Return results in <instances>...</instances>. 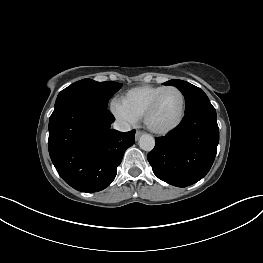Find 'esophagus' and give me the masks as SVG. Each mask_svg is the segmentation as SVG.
<instances>
[{
    "instance_id": "obj_1",
    "label": "esophagus",
    "mask_w": 263,
    "mask_h": 263,
    "mask_svg": "<svg viewBox=\"0 0 263 263\" xmlns=\"http://www.w3.org/2000/svg\"><path fill=\"white\" fill-rule=\"evenodd\" d=\"M142 134H143L142 131H136V133H135L136 139H138Z\"/></svg>"
}]
</instances>
